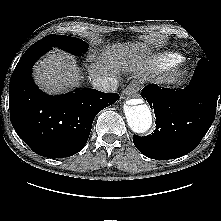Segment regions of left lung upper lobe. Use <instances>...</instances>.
<instances>
[{"instance_id": "obj_1", "label": "left lung upper lobe", "mask_w": 221, "mask_h": 221, "mask_svg": "<svg viewBox=\"0 0 221 221\" xmlns=\"http://www.w3.org/2000/svg\"><path fill=\"white\" fill-rule=\"evenodd\" d=\"M198 66H211V64H209V61L206 58H202L199 61Z\"/></svg>"}]
</instances>
